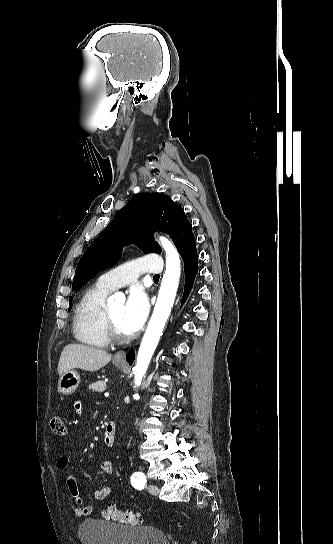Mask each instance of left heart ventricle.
<instances>
[{"mask_svg":"<svg viewBox=\"0 0 333 544\" xmlns=\"http://www.w3.org/2000/svg\"><path fill=\"white\" fill-rule=\"evenodd\" d=\"M123 308H124L123 304H117L115 306L110 307L108 310L112 319L114 320L115 324L120 330V332H122L123 334H128L121 324V316H122Z\"/></svg>","mask_w":333,"mask_h":544,"instance_id":"b2bd125f","label":"left heart ventricle"}]
</instances>
